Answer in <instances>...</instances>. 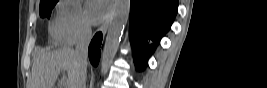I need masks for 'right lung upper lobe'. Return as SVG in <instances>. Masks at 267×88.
<instances>
[{
    "mask_svg": "<svg viewBox=\"0 0 267 88\" xmlns=\"http://www.w3.org/2000/svg\"><path fill=\"white\" fill-rule=\"evenodd\" d=\"M43 1H46V0H40V3L43 2Z\"/></svg>",
    "mask_w": 267,
    "mask_h": 88,
    "instance_id": "obj_1",
    "label": "right lung upper lobe"
}]
</instances>
